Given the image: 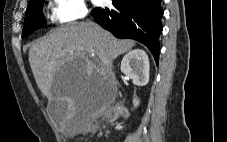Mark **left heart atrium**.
<instances>
[{
    "label": "left heart atrium",
    "instance_id": "1",
    "mask_svg": "<svg viewBox=\"0 0 227 142\" xmlns=\"http://www.w3.org/2000/svg\"><path fill=\"white\" fill-rule=\"evenodd\" d=\"M96 3H98L99 2V0H94Z\"/></svg>",
    "mask_w": 227,
    "mask_h": 142
}]
</instances>
